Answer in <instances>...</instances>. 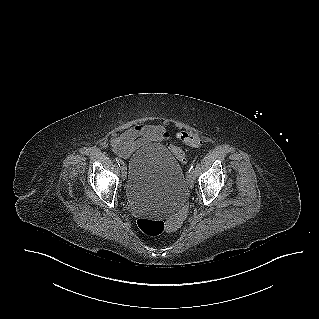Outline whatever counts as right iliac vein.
<instances>
[{"label":"right iliac vein","instance_id":"63e3f726","mask_svg":"<svg viewBox=\"0 0 319 319\" xmlns=\"http://www.w3.org/2000/svg\"><path fill=\"white\" fill-rule=\"evenodd\" d=\"M121 177L123 180L126 179V166L123 164L122 168H121Z\"/></svg>","mask_w":319,"mask_h":319}]
</instances>
